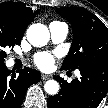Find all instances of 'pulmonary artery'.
Returning <instances> with one entry per match:
<instances>
[{"instance_id": "obj_1", "label": "pulmonary artery", "mask_w": 108, "mask_h": 108, "mask_svg": "<svg viewBox=\"0 0 108 108\" xmlns=\"http://www.w3.org/2000/svg\"><path fill=\"white\" fill-rule=\"evenodd\" d=\"M49 30L52 42L55 44L63 42L68 34V26L63 22H52L49 25ZM76 74L78 75L79 71Z\"/></svg>"}]
</instances>
